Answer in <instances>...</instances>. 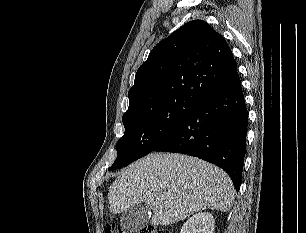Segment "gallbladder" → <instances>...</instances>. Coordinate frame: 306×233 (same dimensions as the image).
I'll return each instance as SVG.
<instances>
[{"mask_svg": "<svg viewBox=\"0 0 306 233\" xmlns=\"http://www.w3.org/2000/svg\"><path fill=\"white\" fill-rule=\"evenodd\" d=\"M149 208L146 205H134L121 216L123 227L129 232H137L144 228L149 221Z\"/></svg>", "mask_w": 306, "mask_h": 233, "instance_id": "obj_1", "label": "gallbladder"}]
</instances>
